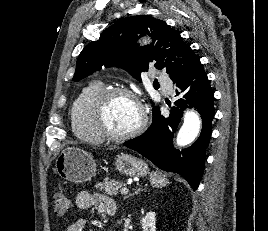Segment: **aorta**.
<instances>
[{
    "instance_id": "762f6f07",
    "label": "aorta",
    "mask_w": 268,
    "mask_h": 231,
    "mask_svg": "<svg viewBox=\"0 0 268 231\" xmlns=\"http://www.w3.org/2000/svg\"><path fill=\"white\" fill-rule=\"evenodd\" d=\"M201 128V120L199 115L192 111H186L184 115V122L181 126L176 142L178 146H186L192 143L198 136Z\"/></svg>"
}]
</instances>
